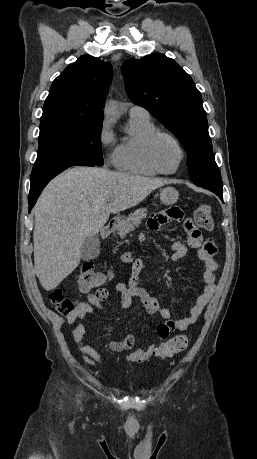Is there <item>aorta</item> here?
<instances>
[{"instance_id":"1","label":"aorta","mask_w":257,"mask_h":459,"mask_svg":"<svg viewBox=\"0 0 257 459\" xmlns=\"http://www.w3.org/2000/svg\"><path fill=\"white\" fill-rule=\"evenodd\" d=\"M106 115L109 116V117H116V110H115V107L113 105H109L107 108H106Z\"/></svg>"}]
</instances>
